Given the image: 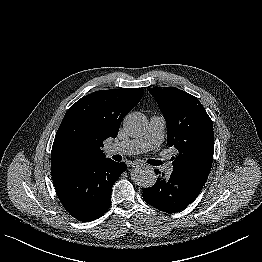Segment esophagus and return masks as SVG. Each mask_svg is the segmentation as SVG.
<instances>
[{"label": "esophagus", "mask_w": 262, "mask_h": 262, "mask_svg": "<svg viewBox=\"0 0 262 262\" xmlns=\"http://www.w3.org/2000/svg\"><path fill=\"white\" fill-rule=\"evenodd\" d=\"M142 166L147 167L146 165H144L140 162H133L132 163V167H134V168H138V167H142Z\"/></svg>", "instance_id": "esophagus-1"}]
</instances>
